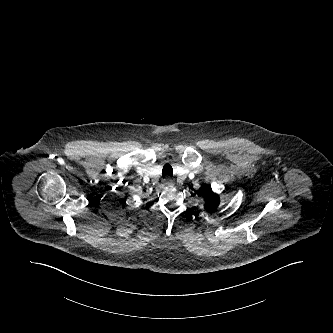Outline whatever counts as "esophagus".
I'll use <instances>...</instances> for the list:
<instances>
[{"label":"esophagus","mask_w":333,"mask_h":333,"mask_svg":"<svg viewBox=\"0 0 333 333\" xmlns=\"http://www.w3.org/2000/svg\"><path fill=\"white\" fill-rule=\"evenodd\" d=\"M166 183H171V180L170 179H166Z\"/></svg>","instance_id":"1"}]
</instances>
